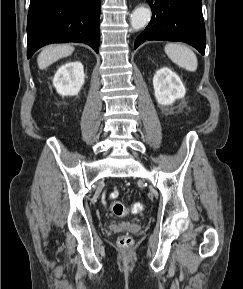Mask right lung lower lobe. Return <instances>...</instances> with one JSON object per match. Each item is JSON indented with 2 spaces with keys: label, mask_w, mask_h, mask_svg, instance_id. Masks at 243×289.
I'll list each match as a JSON object with an SVG mask.
<instances>
[{
  "label": "right lung lower lobe",
  "mask_w": 243,
  "mask_h": 289,
  "mask_svg": "<svg viewBox=\"0 0 243 289\" xmlns=\"http://www.w3.org/2000/svg\"><path fill=\"white\" fill-rule=\"evenodd\" d=\"M100 0H31L27 57L50 43L83 42L99 51Z\"/></svg>",
  "instance_id": "right-lung-lower-lobe-1"
}]
</instances>
